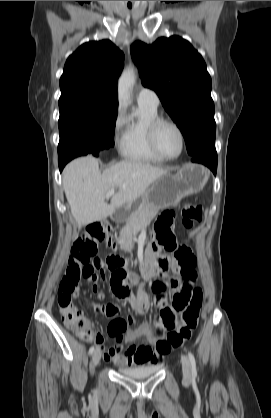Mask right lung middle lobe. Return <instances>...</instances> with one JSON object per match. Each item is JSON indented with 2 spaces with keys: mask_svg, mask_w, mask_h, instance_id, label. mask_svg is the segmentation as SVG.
Masks as SVG:
<instances>
[{
  "mask_svg": "<svg viewBox=\"0 0 271 418\" xmlns=\"http://www.w3.org/2000/svg\"><path fill=\"white\" fill-rule=\"evenodd\" d=\"M59 110V156H96L114 145L118 106L74 101L59 104Z\"/></svg>",
  "mask_w": 271,
  "mask_h": 418,
  "instance_id": "right-lung-middle-lobe-1",
  "label": "right lung middle lobe"
}]
</instances>
